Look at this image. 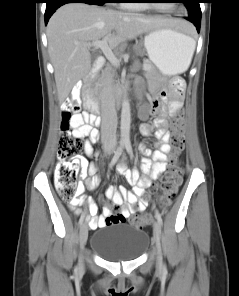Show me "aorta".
Here are the masks:
<instances>
[{
	"mask_svg": "<svg viewBox=\"0 0 239 296\" xmlns=\"http://www.w3.org/2000/svg\"><path fill=\"white\" fill-rule=\"evenodd\" d=\"M130 123H131L130 104L128 99L125 98L122 102L121 127H120L121 138L123 141L129 139Z\"/></svg>",
	"mask_w": 239,
	"mask_h": 296,
	"instance_id": "aorta-1",
	"label": "aorta"
}]
</instances>
